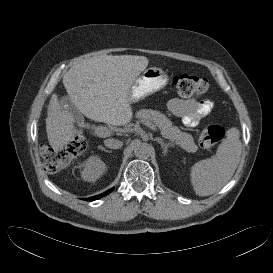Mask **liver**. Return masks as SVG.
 <instances>
[{
    "label": "liver",
    "mask_w": 273,
    "mask_h": 273,
    "mask_svg": "<svg viewBox=\"0 0 273 273\" xmlns=\"http://www.w3.org/2000/svg\"><path fill=\"white\" fill-rule=\"evenodd\" d=\"M145 56L100 55L73 65L63 76V85L71 102L87 118L115 126L133 118L128 101L134 80L148 66ZM75 116L63 109L57 94L51 96L46 118L50 146L59 152L77 133Z\"/></svg>",
    "instance_id": "1"
}]
</instances>
